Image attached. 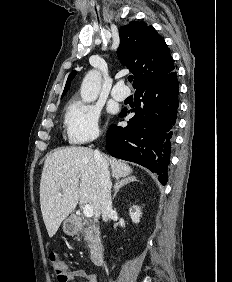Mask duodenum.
<instances>
[{"label":"duodenum","instance_id":"duodenum-1","mask_svg":"<svg viewBox=\"0 0 232 282\" xmlns=\"http://www.w3.org/2000/svg\"><path fill=\"white\" fill-rule=\"evenodd\" d=\"M90 255L91 260L95 265L101 266L103 264L104 248L100 243H95L92 245Z\"/></svg>","mask_w":232,"mask_h":282}]
</instances>
